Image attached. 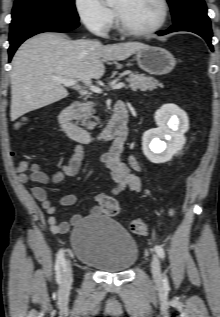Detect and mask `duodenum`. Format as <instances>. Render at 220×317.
<instances>
[{"mask_svg":"<svg viewBox=\"0 0 220 317\" xmlns=\"http://www.w3.org/2000/svg\"><path fill=\"white\" fill-rule=\"evenodd\" d=\"M74 106V104H67L60 109L58 114V124L64 133L82 144L112 141L113 145H124L129 136L127 127L128 110L124 102L118 101L115 104L108 125L96 135L74 122Z\"/></svg>","mask_w":220,"mask_h":317,"instance_id":"obj_1","label":"duodenum"}]
</instances>
